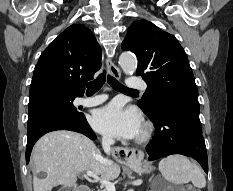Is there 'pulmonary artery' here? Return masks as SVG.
<instances>
[{
	"label": "pulmonary artery",
	"instance_id": "1",
	"mask_svg": "<svg viewBox=\"0 0 233 191\" xmlns=\"http://www.w3.org/2000/svg\"><path fill=\"white\" fill-rule=\"evenodd\" d=\"M127 85L129 88H139L142 90H146L148 87L145 81L137 77H130L127 80ZM106 99H107L106 95L82 97L78 99V104L86 106V107H91V106H96V105L103 103Z\"/></svg>",
	"mask_w": 233,
	"mask_h": 191
}]
</instances>
